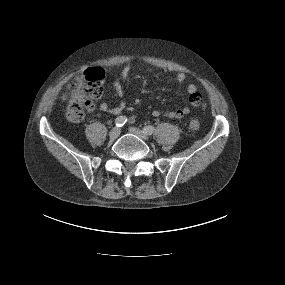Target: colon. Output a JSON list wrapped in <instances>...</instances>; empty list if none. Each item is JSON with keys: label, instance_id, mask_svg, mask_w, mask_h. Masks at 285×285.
I'll use <instances>...</instances> for the list:
<instances>
[{"label": "colon", "instance_id": "5ec220e1", "mask_svg": "<svg viewBox=\"0 0 285 285\" xmlns=\"http://www.w3.org/2000/svg\"><path fill=\"white\" fill-rule=\"evenodd\" d=\"M104 72L101 68L91 67L82 72L69 85V93L66 96L67 116L72 121H81L85 112L94 108L95 102L103 91ZM199 128L197 120L188 123V131H196Z\"/></svg>", "mask_w": 285, "mask_h": 285}]
</instances>
